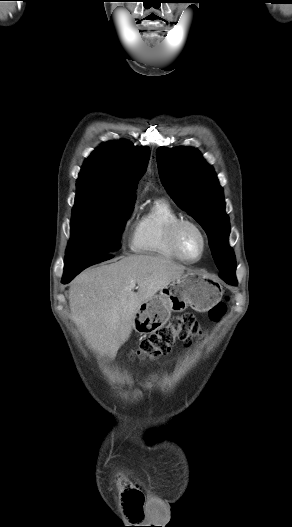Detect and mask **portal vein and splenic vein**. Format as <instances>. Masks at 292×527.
I'll list each match as a JSON object with an SVG mask.
<instances>
[{
	"label": "portal vein and splenic vein",
	"mask_w": 292,
	"mask_h": 527,
	"mask_svg": "<svg viewBox=\"0 0 292 527\" xmlns=\"http://www.w3.org/2000/svg\"><path fill=\"white\" fill-rule=\"evenodd\" d=\"M130 286L134 288L136 286V283L134 281L131 282Z\"/></svg>",
	"instance_id": "1"
}]
</instances>
